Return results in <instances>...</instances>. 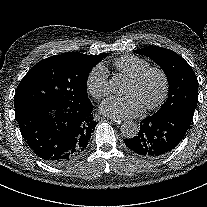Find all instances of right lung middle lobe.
I'll return each instance as SVG.
<instances>
[{
    "label": "right lung middle lobe",
    "instance_id": "dd1d6c3e",
    "mask_svg": "<svg viewBox=\"0 0 207 207\" xmlns=\"http://www.w3.org/2000/svg\"><path fill=\"white\" fill-rule=\"evenodd\" d=\"M94 66L68 54L40 61L16 89L15 115L45 106L78 107L89 103L87 80Z\"/></svg>",
    "mask_w": 207,
    "mask_h": 207
}]
</instances>
